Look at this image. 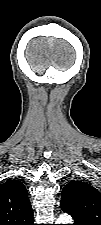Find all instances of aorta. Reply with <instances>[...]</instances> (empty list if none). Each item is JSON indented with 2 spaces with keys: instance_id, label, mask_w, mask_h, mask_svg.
Listing matches in <instances>:
<instances>
[{
  "instance_id": "obj_1",
  "label": "aorta",
  "mask_w": 101,
  "mask_h": 225,
  "mask_svg": "<svg viewBox=\"0 0 101 225\" xmlns=\"http://www.w3.org/2000/svg\"><path fill=\"white\" fill-rule=\"evenodd\" d=\"M72 223H73L72 218L67 214H61L56 221V224H72Z\"/></svg>"
}]
</instances>
